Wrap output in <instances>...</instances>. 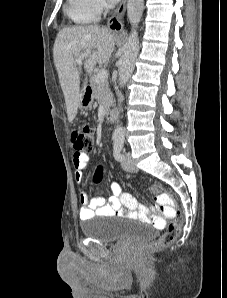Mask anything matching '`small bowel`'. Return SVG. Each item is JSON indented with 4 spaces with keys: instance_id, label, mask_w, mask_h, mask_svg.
I'll return each instance as SVG.
<instances>
[{
    "instance_id": "small-bowel-1",
    "label": "small bowel",
    "mask_w": 227,
    "mask_h": 298,
    "mask_svg": "<svg viewBox=\"0 0 227 298\" xmlns=\"http://www.w3.org/2000/svg\"><path fill=\"white\" fill-rule=\"evenodd\" d=\"M88 161L89 157L86 154V150H75L73 165L77 183L82 182ZM110 188L112 195L108 200L100 196L89 198L84 191H81L79 209L81 220H88L95 216H126L127 214L138 218H146L148 216L147 208L139 205L130 195L125 194L118 182L113 181ZM153 210L155 211V207Z\"/></svg>"
}]
</instances>
